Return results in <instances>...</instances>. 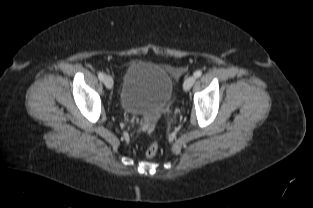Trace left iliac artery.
Segmentation results:
<instances>
[{
  "label": "left iliac artery",
  "mask_w": 313,
  "mask_h": 208,
  "mask_svg": "<svg viewBox=\"0 0 313 208\" xmlns=\"http://www.w3.org/2000/svg\"><path fill=\"white\" fill-rule=\"evenodd\" d=\"M202 75V71L201 70H197L195 73H194V76L196 78L200 77Z\"/></svg>",
  "instance_id": "44dca946"
}]
</instances>
